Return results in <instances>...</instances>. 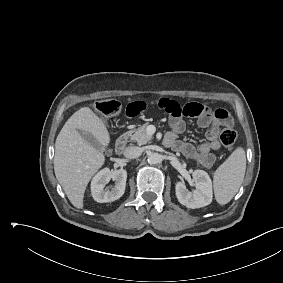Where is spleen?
<instances>
[{
    "mask_svg": "<svg viewBox=\"0 0 283 283\" xmlns=\"http://www.w3.org/2000/svg\"><path fill=\"white\" fill-rule=\"evenodd\" d=\"M245 171V151L238 147L213 176L215 199L220 205L227 204L235 196L243 182Z\"/></svg>",
    "mask_w": 283,
    "mask_h": 283,
    "instance_id": "obj_1",
    "label": "spleen"
}]
</instances>
